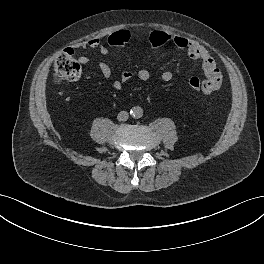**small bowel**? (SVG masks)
<instances>
[{"label":"small bowel","instance_id":"1","mask_svg":"<svg viewBox=\"0 0 264 264\" xmlns=\"http://www.w3.org/2000/svg\"><path fill=\"white\" fill-rule=\"evenodd\" d=\"M130 39H131V32ZM170 42L181 50H185L188 57L192 60H197L201 63L203 73L205 75V83L207 84V89L205 94H211L218 90L222 84V75L218 69L214 58L211 56L209 51H207L203 46H201L197 41L181 36V35H171ZM76 48L85 50H98L101 55L108 56L109 49L99 37H93L86 41L79 42L75 44ZM73 51V50H72ZM79 61L82 65L89 62V58L85 55L79 57ZM101 74L105 78H109L112 75V69L106 62H101L98 65ZM151 77L150 70L146 68L136 69L132 71H121L119 73L118 79L113 82V87L116 90H121L128 82L133 79H138L140 81H147ZM160 78L164 82H169L173 78L171 71H163Z\"/></svg>","mask_w":264,"mask_h":264}]
</instances>
